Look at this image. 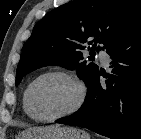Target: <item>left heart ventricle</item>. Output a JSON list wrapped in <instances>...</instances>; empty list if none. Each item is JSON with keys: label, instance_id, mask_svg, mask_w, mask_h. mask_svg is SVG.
<instances>
[{"label": "left heart ventricle", "instance_id": "left-heart-ventricle-1", "mask_svg": "<svg viewBox=\"0 0 141 139\" xmlns=\"http://www.w3.org/2000/svg\"><path fill=\"white\" fill-rule=\"evenodd\" d=\"M77 95V87L71 80L61 76H50L34 86L31 103L37 115L51 117L70 108Z\"/></svg>", "mask_w": 141, "mask_h": 139}]
</instances>
